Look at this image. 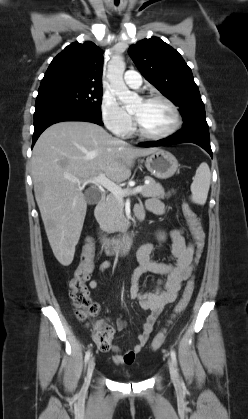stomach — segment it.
Masks as SVG:
<instances>
[{
	"label": "stomach",
	"mask_w": 248,
	"mask_h": 419,
	"mask_svg": "<svg viewBox=\"0 0 248 419\" xmlns=\"http://www.w3.org/2000/svg\"><path fill=\"white\" fill-rule=\"evenodd\" d=\"M145 166L155 177L167 179L175 174L179 165L173 154L159 149L146 158Z\"/></svg>",
	"instance_id": "obj_1"
}]
</instances>
